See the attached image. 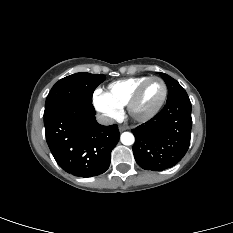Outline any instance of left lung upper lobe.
I'll return each instance as SVG.
<instances>
[{
  "label": "left lung upper lobe",
  "mask_w": 233,
  "mask_h": 233,
  "mask_svg": "<svg viewBox=\"0 0 233 233\" xmlns=\"http://www.w3.org/2000/svg\"><path fill=\"white\" fill-rule=\"evenodd\" d=\"M168 87V97L178 92L184 91L183 87L172 77L167 74L159 72Z\"/></svg>",
  "instance_id": "obj_1"
}]
</instances>
